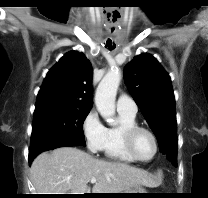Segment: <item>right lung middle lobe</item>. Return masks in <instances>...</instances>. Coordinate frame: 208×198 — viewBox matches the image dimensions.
<instances>
[{"label": "right lung middle lobe", "instance_id": "right-lung-middle-lobe-1", "mask_svg": "<svg viewBox=\"0 0 208 198\" xmlns=\"http://www.w3.org/2000/svg\"><path fill=\"white\" fill-rule=\"evenodd\" d=\"M89 112V108L72 105L35 109L30 146L54 138H65L85 146L83 122Z\"/></svg>", "mask_w": 208, "mask_h": 198}]
</instances>
